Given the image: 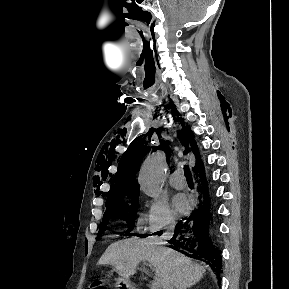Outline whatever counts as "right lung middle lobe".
Masks as SVG:
<instances>
[{"mask_svg":"<svg viewBox=\"0 0 289 289\" xmlns=\"http://www.w3.org/2000/svg\"><path fill=\"white\" fill-rule=\"evenodd\" d=\"M138 197L139 195H135L125 200L106 204V211L100 226L98 238L103 233L109 219L112 217L127 221L130 230L133 229L135 222L134 217L137 212Z\"/></svg>","mask_w":289,"mask_h":289,"instance_id":"dd1d6c3e","label":"right lung middle lobe"}]
</instances>
